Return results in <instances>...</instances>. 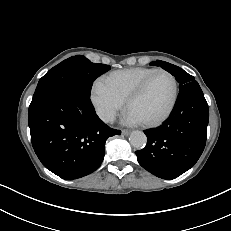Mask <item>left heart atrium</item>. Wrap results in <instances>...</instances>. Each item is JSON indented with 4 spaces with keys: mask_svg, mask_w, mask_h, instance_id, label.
Wrapping results in <instances>:
<instances>
[{
    "mask_svg": "<svg viewBox=\"0 0 231 231\" xmlns=\"http://www.w3.org/2000/svg\"><path fill=\"white\" fill-rule=\"evenodd\" d=\"M123 121L125 124H128V125H136V124L141 123V121L130 111L126 112Z\"/></svg>",
    "mask_w": 231,
    "mask_h": 231,
    "instance_id": "left-heart-atrium-1",
    "label": "left heart atrium"
}]
</instances>
